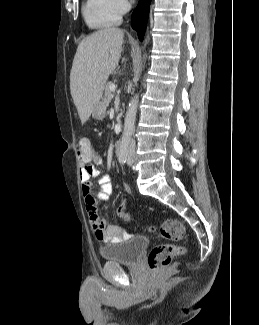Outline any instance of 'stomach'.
<instances>
[{"instance_id":"0dacf381","label":"stomach","mask_w":259,"mask_h":325,"mask_svg":"<svg viewBox=\"0 0 259 325\" xmlns=\"http://www.w3.org/2000/svg\"><path fill=\"white\" fill-rule=\"evenodd\" d=\"M106 112V107L103 104V102H99L96 104V106L94 107L93 111H92V117L94 119L100 120L104 117Z\"/></svg>"}]
</instances>
